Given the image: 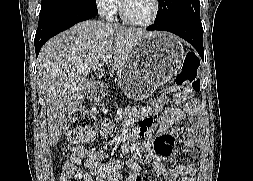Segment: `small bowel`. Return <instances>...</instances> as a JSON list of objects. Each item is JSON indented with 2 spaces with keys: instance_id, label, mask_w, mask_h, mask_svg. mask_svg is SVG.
Here are the masks:
<instances>
[{
  "instance_id": "obj_1",
  "label": "small bowel",
  "mask_w": 253,
  "mask_h": 181,
  "mask_svg": "<svg viewBox=\"0 0 253 181\" xmlns=\"http://www.w3.org/2000/svg\"><path fill=\"white\" fill-rule=\"evenodd\" d=\"M187 101L184 109L179 108L181 104ZM165 98L159 99L158 105L153 108L130 107L125 110V118H135L138 120L137 126L133 130V141L139 138H145V146L149 147L153 142L156 134V151L158 158L153 162L152 166L157 175L164 176L166 181H195L196 173L199 166V140L200 124L197 120L198 104L186 92L179 89L172 90L171 102L173 106L166 107L154 123V114L160 110L165 104ZM190 120L192 122L189 128L191 136L186 139L187 161L178 164L173 168L166 165L165 160L169 158L175 145L177 130L176 122H184ZM114 123L112 120H105L102 124L100 134L104 138L112 135ZM104 154L102 151L94 148L79 146L74 149V156L70 159L71 166L78 167L81 161L85 160V169L80 170L88 181H136L138 174V166L133 160H111L102 163ZM146 181H154L148 179Z\"/></svg>"
}]
</instances>
